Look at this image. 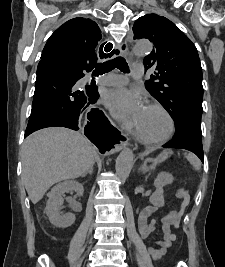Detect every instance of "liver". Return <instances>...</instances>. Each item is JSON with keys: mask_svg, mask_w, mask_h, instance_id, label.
Here are the masks:
<instances>
[{"mask_svg": "<svg viewBox=\"0 0 225 267\" xmlns=\"http://www.w3.org/2000/svg\"><path fill=\"white\" fill-rule=\"evenodd\" d=\"M87 138L66 128H46L26 138L22 146V181L33 204L60 181L83 176L94 162Z\"/></svg>", "mask_w": 225, "mask_h": 267, "instance_id": "6515ba94", "label": "liver"}]
</instances>
